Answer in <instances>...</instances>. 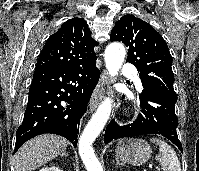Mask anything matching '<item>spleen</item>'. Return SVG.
<instances>
[{"label": "spleen", "instance_id": "3e777b00", "mask_svg": "<svg viewBox=\"0 0 199 171\" xmlns=\"http://www.w3.org/2000/svg\"><path fill=\"white\" fill-rule=\"evenodd\" d=\"M150 141L159 145L160 153L156 156V160L159 161L165 171H181L176 152L170 145L158 138H152Z\"/></svg>", "mask_w": 199, "mask_h": 171}]
</instances>
